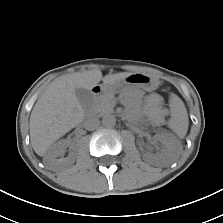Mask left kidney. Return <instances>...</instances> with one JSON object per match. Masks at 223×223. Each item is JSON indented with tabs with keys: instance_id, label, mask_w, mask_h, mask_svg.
Instances as JSON below:
<instances>
[{
	"instance_id": "1",
	"label": "left kidney",
	"mask_w": 223,
	"mask_h": 223,
	"mask_svg": "<svg viewBox=\"0 0 223 223\" xmlns=\"http://www.w3.org/2000/svg\"><path fill=\"white\" fill-rule=\"evenodd\" d=\"M155 140L162 144V150L155 155L150 152L143 153V159L151 164L169 166L175 163L182 151L181 144L167 134L155 135Z\"/></svg>"
}]
</instances>
